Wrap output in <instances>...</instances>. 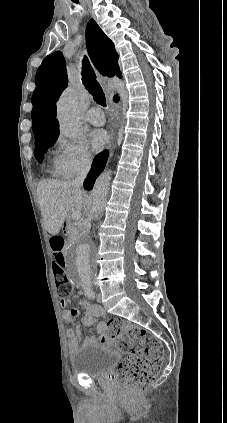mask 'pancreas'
<instances>
[{
	"label": "pancreas",
	"instance_id": "cf45deb5",
	"mask_svg": "<svg viewBox=\"0 0 227 423\" xmlns=\"http://www.w3.org/2000/svg\"><path fill=\"white\" fill-rule=\"evenodd\" d=\"M84 229L85 225L82 221H72V223H69V231H71L69 235L70 239H78V237H81Z\"/></svg>",
	"mask_w": 227,
	"mask_h": 423
}]
</instances>
